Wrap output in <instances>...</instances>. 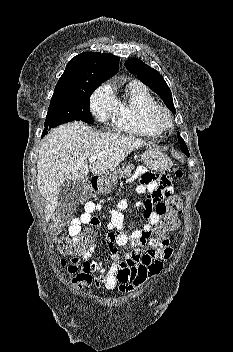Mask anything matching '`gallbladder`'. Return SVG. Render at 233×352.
<instances>
[{"instance_id":"1","label":"gallbladder","mask_w":233,"mask_h":352,"mask_svg":"<svg viewBox=\"0 0 233 352\" xmlns=\"http://www.w3.org/2000/svg\"><path fill=\"white\" fill-rule=\"evenodd\" d=\"M85 184L81 181H65L58 189L57 212L61 215L71 214L78 206Z\"/></svg>"}]
</instances>
